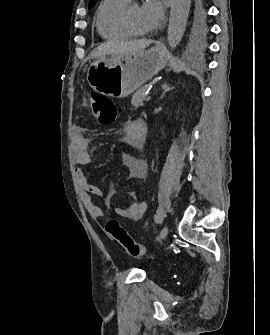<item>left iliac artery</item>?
<instances>
[{
  "label": "left iliac artery",
  "instance_id": "44dca946",
  "mask_svg": "<svg viewBox=\"0 0 270 335\" xmlns=\"http://www.w3.org/2000/svg\"><path fill=\"white\" fill-rule=\"evenodd\" d=\"M163 221V216L162 215H156L155 216V222L156 223H161Z\"/></svg>",
  "mask_w": 270,
  "mask_h": 335
}]
</instances>
